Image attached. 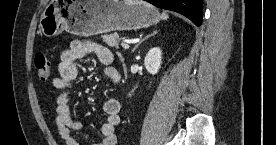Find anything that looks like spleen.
Here are the masks:
<instances>
[{"label":"spleen","instance_id":"obj_1","mask_svg":"<svg viewBox=\"0 0 276 145\" xmlns=\"http://www.w3.org/2000/svg\"><path fill=\"white\" fill-rule=\"evenodd\" d=\"M161 19H162V20H167V19H168V15H167L165 12H163V13L161 14Z\"/></svg>","mask_w":276,"mask_h":145}]
</instances>
